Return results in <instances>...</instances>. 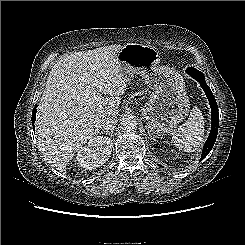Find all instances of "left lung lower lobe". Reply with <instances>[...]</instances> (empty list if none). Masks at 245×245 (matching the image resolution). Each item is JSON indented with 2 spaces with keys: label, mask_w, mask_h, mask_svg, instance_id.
I'll return each instance as SVG.
<instances>
[{
  "label": "left lung lower lobe",
  "mask_w": 245,
  "mask_h": 245,
  "mask_svg": "<svg viewBox=\"0 0 245 245\" xmlns=\"http://www.w3.org/2000/svg\"><path fill=\"white\" fill-rule=\"evenodd\" d=\"M186 72L191 77H193L194 79H196L200 83L202 89L206 93V96L209 100L210 107H211V115H212L211 124L212 125H211V131H210L209 137L203 146L202 155H201V159H200V161H202L209 154L211 149L213 148V145H214L216 138H217L218 125H219L218 106H217L216 100L214 98V95H213L210 87H208L205 83L204 75L200 71H198L197 69H195L193 67L187 68Z\"/></svg>",
  "instance_id": "1"
}]
</instances>
